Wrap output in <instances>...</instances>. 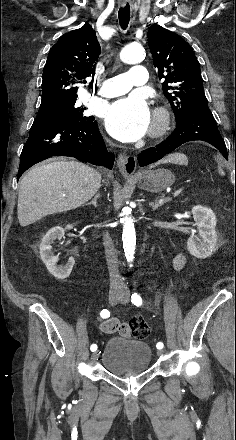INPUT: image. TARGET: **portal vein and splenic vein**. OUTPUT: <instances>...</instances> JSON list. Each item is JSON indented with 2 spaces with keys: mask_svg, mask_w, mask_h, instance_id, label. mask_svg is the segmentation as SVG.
Returning <instances> with one entry per match:
<instances>
[{
  "mask_svg": "<svg viewBox=\"0 0 236 440\" xmlns=\"http://www.w3.org/2000/svg\"><path fill=\"white\" fill-rule=\"evenodd\" d=\"M182 192V188L178 189L177 191H175L174 193V197H177L180 193Z\"/></svg>",
  "mask_w": 236,
  "mask_h": 440,
  "instance_id": "1",
  "label": "portal vein and splenic vein"
}]
</instances>
